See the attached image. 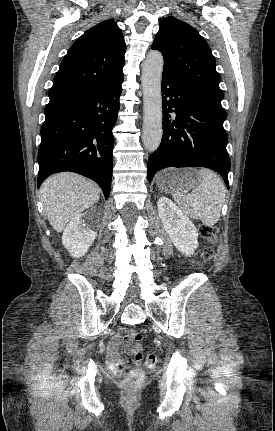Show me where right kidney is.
I'll return each instance as SVG.
<instances>
[{
  "label": "right kidney",
  "mask_w": 275,
  "mask_h": 431,
  "mask_svg": "<svg viewBox=\"0 0 275 431\" xmlns=\"http://www.w3.org/2000/svg\"><path fill=\"white\" fill-rule=\"evenodd\" d=\"M83 214L75 215L66 226L62 243L74 258L83 256L93 244L97 233L93 230L84 228Z\"/></svg>",
  "instance_id": "obj_1"
}]
</instances>
